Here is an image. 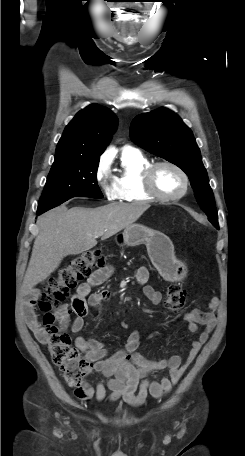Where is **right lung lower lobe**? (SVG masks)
Wrapping results in <instances>:
<instances>
[{
    "label": "right lung lower lobe",
    "instance_id": "right-lung-lower-lobe-1",
    "mask_svg": "<svg viewBox=\"0 0 245 456\" xmlns=\"http://www.w3.org/2000/svg\"><path fill=\"white\" fill-rule=\"evenodd\" d=\"M41 213L40 212H37V215H40Z\"/></svg>",
    "mask_w": 245,
    "mask_h": 456
}]
</instances>
